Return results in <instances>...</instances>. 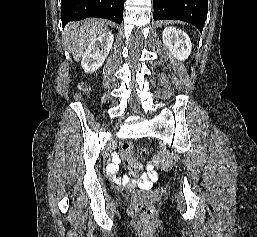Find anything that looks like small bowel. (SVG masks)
<instances>
[{
  "instance_id": "small-bowel-1",
  "label": "small bowel",
  "mask_w": 257,
  "mask_h": 237,
  "mask_svg": "<svg viewBox=\"0 0 257 237\" xmlns=\"http://www.w3.org/2000/svg\"><path fill=\"white\" fill-rule=\"evenodd\" d=\"M119 160L118 158H114L113 162L108 166V172L111 174L114 178V180L121 184H128L130 182V179L128 175L126 174H119ZM156 179L155 172L151 169V167L148 168V172L145 175H142L136 179L137 183H139L141 186H148L152 181Z\"/></svg>"
}]
</instances>
